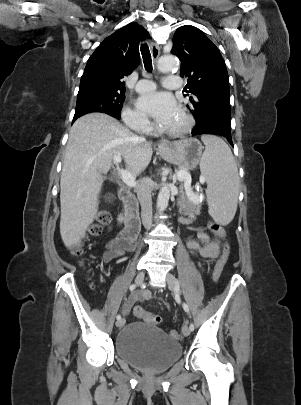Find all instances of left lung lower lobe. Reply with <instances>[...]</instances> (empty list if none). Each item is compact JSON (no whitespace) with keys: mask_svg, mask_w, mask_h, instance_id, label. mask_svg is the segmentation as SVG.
I'll use <instances>...</instances> for the list:
<instances>
[{"mask_svg":"<svg viewBox=\"0 0 301 405\" xmlns=\"http://www.w3.org/2000/svg\"><path fill=\"white\" fill-rule=\"evenodd\" d=\"M217 135L228 140L233 146L231 137V122L222 118H210L204 121L196 120V126L192 131V136L198 135Z\"/></svg>","mask_w":301,"mask_h":405,"instance_id":"obj_1","label":"left lung lower lobe"}]
</instances>
